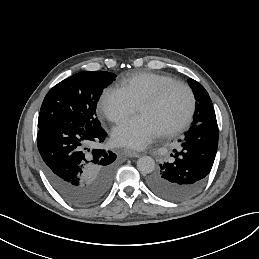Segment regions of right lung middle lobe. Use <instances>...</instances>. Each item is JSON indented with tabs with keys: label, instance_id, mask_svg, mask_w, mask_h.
<instances>
[{
	"label": "right lung middle lobe",
	"instance_id": "dd1d6c3e",
	"mask_svg": "<svg viewBox=\"0 0 259 259\" xmlns=\"http://www.w3.org/2000/svg\"><path fill=\"white\" fill-rule=\"evenodd\" d=\"M115 76L106 71H82L55 85L43 100L38 128L56 123H72L86 129L100 127L96 105Z\"/></svg>",
	"mask_w": 259,
	"mask_h": 259
}]
</instances>
